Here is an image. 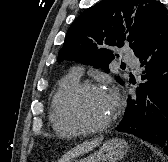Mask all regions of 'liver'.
I'll list each match as a JSON object with an SVG mask.
<instances>
[{
    "instance_id": "liver-1",
    "label": "liver",
    "mask_w": 168,
    "mask_h": 162,
    "mask_svg": "<svg viewBox=\"0 0 168 162\" xmlns=\"http://www.w3.org/2000/svg\"><path fill=\"white\" fill-rule=\"evenodd\" d=\"M102 141V138L93 141L85 142L67 152L58 162H69L71 159L87 153L97 147Z\"/></svg>"
}]
</instances>
